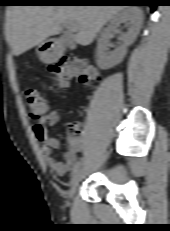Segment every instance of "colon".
I'll use <instances>...</instances> for the list:
<instances>
[{
    "label": "colon",
    "mask_w": 170,
    "mask_h": 231,
    "mask_svg": "<svg viewBox=\"0 0 170 231\" xmlns=\"http://www.w3.org/2000/svg\"><path fill=\"white\" fill-rule=\"evenodd\" d=\"M50 72L56 77L59 84L65 87L72 78H78L84 85L91 86L100 80V72L96 66L87 59L66 55L56 63L50 65ZM26 100L33 118H40L49 113V106L44 96L35 89L26 91ZM80 137V130L77 127H70L67 132L69 143Z\"/></svg>",
    "instance_id": "1"
}]
</instances>
